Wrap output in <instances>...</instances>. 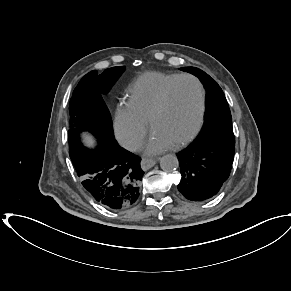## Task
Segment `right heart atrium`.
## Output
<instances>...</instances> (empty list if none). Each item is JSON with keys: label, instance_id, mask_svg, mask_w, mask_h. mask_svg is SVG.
Instances as JSON below:
<instances>
[{"label": "right heart atrium", "instance_id": "1", "mask_svg": "<svg viewBox=\"0 0 291 291\" xmlns=\"http://www.w3.org/2000/svg\"><path fill=\"white\" fill-rule=\"evenodd\" d=\"M115 129L120 142L131 150H138L148 132L147 122L136 117L128 105L121 104L115 114Z\"/></svg>", "mask_w": 291, "mask_h": 291}]
</instances>
